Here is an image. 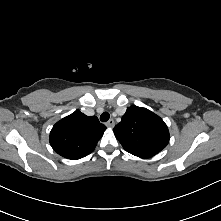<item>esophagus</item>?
I'll return each mask as SVG.
<instances>
[{"mask_svg":"<svg viewBox=\"0 0 221 221\" xmlns=\"http://www.w3.org/2000/svg\"><path fill=\"white\" fill-rule=\"evenodd\" d=\"M114 124H115V121L113 119H110L106 122V126L108 128H113L114 127Z\"/></svg>","mask_w":221,"mask_h":221,"instance_id":"esophagus-1","label":"esophagus"}]
</instances>
